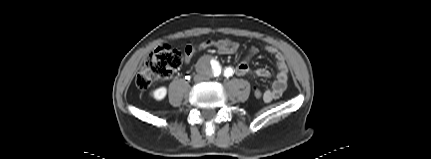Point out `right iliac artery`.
<instances>
[{
    "instance_id": "1",
    "label": "right iliac artery",
    "mask_w": 431,
    "mask_h": 159,
    "mask_svg": "<svg viewBox=\"0 0 431 159\" xmlns=\"http://www.w3.org/2000/svg\"><path fill=\"white\" fill-rule=\"evenodd\" d=\"M221 70L217 69V74H220Z\"/></svg>"
}]
</instances>
